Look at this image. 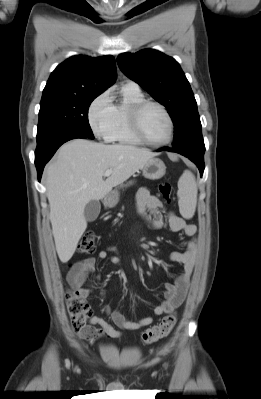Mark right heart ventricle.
<instances>
[{"instance_id":"obj_1","label":"right heart ventricle","mask_w":261,"mask_h":399,"mask_svg":"<svg viewBox=\"0 0 261 399\" xmlns=\"http://www.w3.org/2000/svg\"><path fill=\"white\" fill-rule=\"evenodd\" d=\"M123 103L114 105V119L110 134V141H115L124 144H141L130 131L127 112L129 107L144 99L140 90H128L122 88Z\"/></svg>"}]
</instances>
